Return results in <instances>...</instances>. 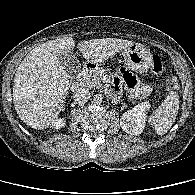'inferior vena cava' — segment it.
I'll return each mask as SVG.
<instances>
[{"label":"inferior vena cava","mask_w":195,"mask_h":195,"mask_svg":"<svg viewBox=\"0 0 195 195\" xmlns=\"http://www.w3.org/2000/svg\"><path fill=\"white\" fill-rule=\"evenodd\" d=\"M91 97V93L88 89L82 88L75 91L73 100L78 104L86 103Z\"/></svg>","instance_id":"inferior-vena-cava-1"}]
</instances>
